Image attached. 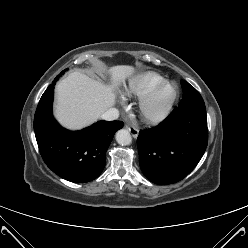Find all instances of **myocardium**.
Returning a JSON list of instances; mask_svg holds the SVG:
<instances>
[{
    "mask_svg": "<svg viewBox=\"0 0 248 248\" xmlns=\"http://www.w3.org/2000/svg\"><path fill=\"white\" fill-rule=\"evenodd\" d=\"M165 87L173 88V95L171 99L164 107L160 108L159 110H153L152 104L156 95L159 93L161 89ZM178 96H179V90L175 83L170 81H163L159 83L140 98L139 109L143 118L150 123H159L165 120L173 111Z\"/></svg>",
    "mask_w": 248,
    "mask_h": 248,
    "instance_id": "1",
    "label": "myocardium"
}]
</instances>
